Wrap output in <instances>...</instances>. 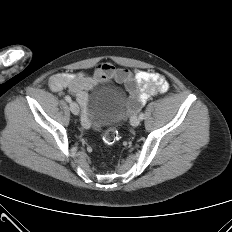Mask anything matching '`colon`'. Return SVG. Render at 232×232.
Here are the masks:
<instances>
[{
  "label": "colon",
  "mask_w": 232,
  "mask_h": 232,
  "mask_svg": "<svg viewBox=\"0 0 232 232\" xmlns=\"http://www.w3.org/2000/svg\"><path fill=\"white\" fill-rule=\"evenodd\" d=\"M118 139L117 128L108 129L103 135V143L105 147H111Z\"/></svg>",
  "instance_id": "colon-1"
}]
</instances>
